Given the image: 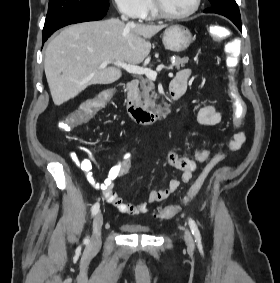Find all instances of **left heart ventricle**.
Wrapping results in <instances>:
<instances>
[{
    "instance_id": "obj_1",
    "label": "left heart ventricle",
    "mask_w": 280,
    "mask_h": 283,
    "mask_svg": "<svg viewBox=\"0 0 280 283\" xmlns=\"http://www.w3.org/2000/svg\"><path fill=\"white\" fill-rule=\"evenodd\" d=\"M159 5L168 13L182 14L190 10L194 0H157Z\"/></svg>"
}]
</instances>
